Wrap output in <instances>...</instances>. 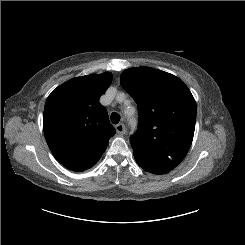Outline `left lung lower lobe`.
Wrapping results in <instances>:
<instances>
[{"label":"left lung lower lobe","instance_id":"left-lung-lower-lobe-1","mask_svg":"<svg viewBox=\"0 0 245 245\" xmlns=\"http://www.w3.org/2000/svg\"><path fill=\"white\" fill-rule=\"evenodd\" d=\"M169 170H160V171H155V172H151V173H154V174H165V173H168Z\"/></svg>","mask_w":245,"mask_h":245}]
</instances>
